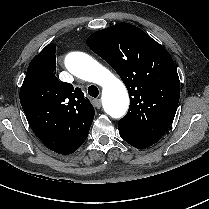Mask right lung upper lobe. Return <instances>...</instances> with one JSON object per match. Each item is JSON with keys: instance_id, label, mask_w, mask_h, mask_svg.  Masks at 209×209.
Returning a JSON list of instances; mask_svg holds the SVG:
<instances>
[{"instance_id": "cb5924a9", "label": "right lung upper lobe", "mask_w": 209, "mask_h": 209, "mask_svg": "<svg viewBox=\"0 0 209 209\" xmlns=\"http://www.w3.org/2000/svg\"><path fill=\"white\" fill-rule=\"evenodd\" d=\"M55 52L51 43L32 59L20 89V102L26 115L46 112L41 122L55 129L53 139L77 149L88 136L94 107L80 88L57 79Z\"/></svg>"}]
</instances>
